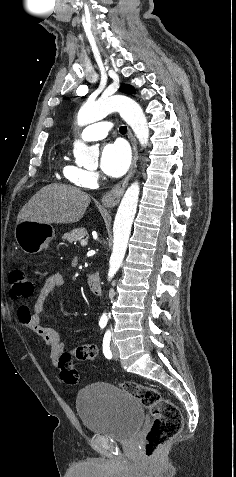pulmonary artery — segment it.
Listing matches in <instances>:
<instances>
[{"instance_id":"obj_1","label":"pulmonary artery","mask_w":236,"mask_h":477,"mask_svg":"<svg viewBox=\"0 0 236 477\" xmlns=\"http://www.w3.org/2000/svg\"><path fill=\"white\" fill-rule=\"evenodd\" d=\"M111 128L112 123L110 121L91 123L83 129L80 138L84 141L104 139Z\"/></svg>"}]
</instances>
